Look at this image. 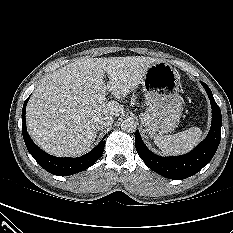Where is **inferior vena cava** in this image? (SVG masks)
<instances>
[{"label":"inferior vena cava","instance_id":"602c4592","mask_svg":"<svg viewBox=\"0 0 233 233\" xmlns=\"http://www.w3.org/2000/svg\"><path fill=\"white\" fill-rule=\"evenodd\" d=\"M94 124L97 129H102L110 126L114 121V116L109 114H100L94 117Z\"/></svg>","mask_w":233,"mask_h":233}]
</instances>
